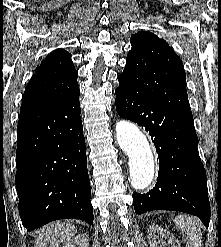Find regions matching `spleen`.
I'll list each match as a JSON object with an SVG mask.
<instances>
[{
  "label": "spleen",
  "instance_id": "spleen-1",
  "mask_svg": "<svg viewBox=\"0 0 221 247\" xmlns=\"http://www.w3.org/2000/svg\"><path fill=\"white\" fill-rule=\"evenodd\" d=\"M174 222L181 231L186 247H201L202 233L195 219L187 215H179Z\"/></svg>",
  "mask_w": 221,
  "mask_h": 247
}]
</instances>
